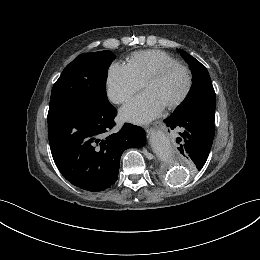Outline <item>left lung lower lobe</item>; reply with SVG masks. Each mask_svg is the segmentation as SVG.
Here are the masks:
<instances>
[{"instance_id":"1","label":"left lung lower lobe","mask_w":260,"mask_h":260,"mask_svg":"<svg viewBox=\"0 0 260 260\" xmlns=\"http://www.w3.org/2000/svg\"><path fill=\"white\" fill-rule=\"evenodd\" d=\"M167 127L178 131V150L193 169L201 170L208 158L215 133V115L201 112L172 114L164 120Z\"/></svg>"}]
</instances>
